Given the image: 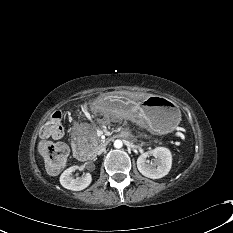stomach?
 I'll use <instances>...</instances> for the list:
<instances>
[{
    "label": "stomach",
    "instance_id": "obj_1",
    "mask_svg": "<svg viewBox=\"0 0 233 233\" xmlns=\"http://www.w3.org/2000/svg\"><path fill=\"white\" fill-rule=\"evenodd\" d=\"M101 102L105 112L131 116L134 122L157 134L172 132L180 122L178 106L163 96L153 95L146 99L142 96H107Z\"/></svg>",
    "mask_w": 233,
    "mask_h": 233
}]
</instances>
